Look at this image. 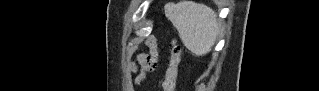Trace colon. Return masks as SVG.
Segmentation results:
<instances>
[{
    "mask_svg": "<svg viewBox=\"0 0 319 91\" xmlns=\"http://www.w3.org/2000/svg\"><path fill=\"white\" fill-rule=\"evenodd\" d=\"M141 64L145 69H151L155 66V52L145 55L141 58ZM181 66V47L176 43H172L171 58L169 68L166 73V78L163 84L164 91H174L176 88V81Z\"/></svg>",
    "mask_w": 319,
    "mask_h": 91,
    "instance_id": "colon-1",
    "label": "colon"
}]
</instances>
